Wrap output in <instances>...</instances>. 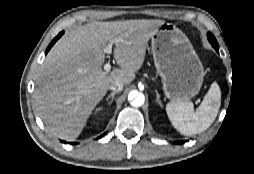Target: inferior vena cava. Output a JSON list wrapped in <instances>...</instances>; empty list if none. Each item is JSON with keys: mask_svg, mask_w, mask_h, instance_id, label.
<instances>
[{"mask_svg": "<svg viewBox=\"0 0 254 174\" xmlns=\"http://www.w3.org/2000/svg\"><path fill=\"white\" fill-rule=\"evenodd\" d=\"M123 87H124V84L122 82L115 81L109 85L108 89L113 92H120L122 91Z\"/></svg>", "mask_w": 254, "mask_h": 174, "instance_id": "602c4592", "label": "inferior vena cava"}]
</instances>
